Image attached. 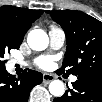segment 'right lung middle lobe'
I'll return each mask as SVG.
<instances>
[{
  "label": "right lung middle lobe",
  "instance_id": "obj_1",
  "mask_svg": "<svg viewBox=\"0 0 102 102\" xmlns=\"http://www.w3.org/2000/svg\"><path fill=\"white\" fill-rule=\"evenodd\" d=\"M20 44L21 43L0 36V69L5 68L6 60H3L4 54L6 52L10 53L11 49H18Z\"/></svg>",
  "mask_w": 102,
  "mask_h": 102
}]
</instances>
